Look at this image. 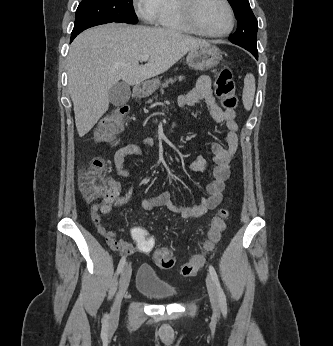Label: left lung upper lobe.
Listing matches in <instances>:
<instances>
[{
  "label": "left lung upper lobe",
  "instance_id": "5c2ea615",
  "mask_svg": "<svg viewBox=\"0 0 333 346\" xmlns=\"http://www.w3.org/2000/svg\"><path fill=\"white\" fill-rule=\"evenodd\" d=\"M234 9L238 27L229 40L246 50L257 52L256 38L258 22L255 18L248 0H228Z\"/></svg>",
  "mask_w": 333,
  "mask_h": 346
}]
</instances>
